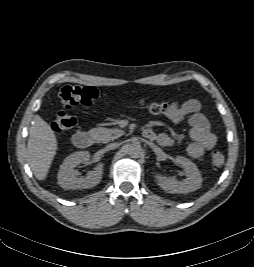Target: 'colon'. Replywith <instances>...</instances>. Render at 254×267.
<instances>
[{
	"label": "colon",
	"instance_id": "5ec220e1",
	"mask_svg": "<svg viewBox=\"0 0 254 267\" xmlns=\"http://www.w3.org/2000/svg\"><path fill=\"white\" fill-rule=\"evenodd\" d=\"M98 96V91L94 87H83L78 85H66L59 93L60 101L63 107L67 110L73 109L78 105L90 106L97 101ZM140 105L153 114L167 113L172 106V104L164 101H154L149 103L141 101ZM75 124V117L66 112H58L52 123V128L55 132L62 133L73 128ZM209 163L212 169H221L225 163L224 154L219 150L213 151L210 154Z\"/></svg>",
	"mask_w": 254,
	"mask_h": 267
}]
</instances>
